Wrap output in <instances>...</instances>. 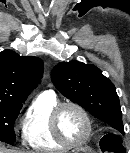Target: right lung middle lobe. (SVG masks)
I'll use <instances>...</instances> for the list:
<instances>
[{
	"label": "right lung middle lobe",
	"instance_id": "right-lung-middle-lobe-1",
	"mask_svg": "<svg viewBox=\"0 0 130 153\" xmlns=\"http://www.w3.org/2000/svg\"><path fill=\"white\" fill-rule=\"evenodd\" d=\"M21 108L22 104L0 102V141L9 144L15 142L14 121Z\"/></svg>",
	"mask_w": 130,
	"mask_h": 153
}]
</instances>
